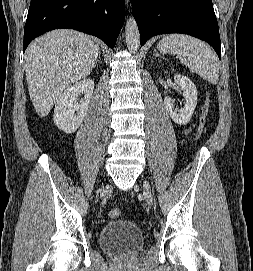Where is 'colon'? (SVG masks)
I'll return each mask as SVG.
<instances>
[{
  "mask_svg": "<svg viewBox=\"0 0 253 271\" xmlns=\"http://www.w3.org/2000/svg\"><path fill=\"white\" fill-rule=\"evenodd\" d=\"M210 112H211V103L209 100H206L204 105H203V111H202V117L201 121L196 133V139H199L203 136V134L206 132L209 117H210ZM122 212L121 209L119 208H113L109 211V217L112 219H117L121 216Z\"/></svg>",
  "mask_w": 253,
  "mask_h": 271,
  "instance_id": "1",
  "label": "colon"
}]
</instances>
